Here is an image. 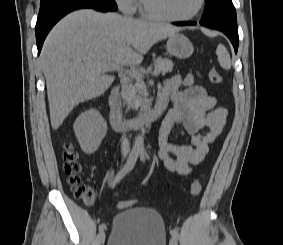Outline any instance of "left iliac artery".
<instances>
[{
  "instance_id": "44dca946",
  "label": "left iliac artery",
  "mask_w": 283,
  "mask_h": 245,
  "mask_svg": "<svg viewBox=\"0 0 283 245\" xmlns=\"http://www.w3.org/2000/svg\"><path fill=\"white\" fill-rule=\"evenodd\" d=\"M140 159H141L142 162H145V154H144L143 150L140 151ZM170 234L176 240L179 239V234H178V231L176 229H172L170 231Z\"/></svg>"
}]
</instances>
